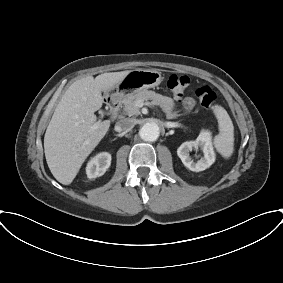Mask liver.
Segmentation results:
<instances>
[{
  "label": "liver",
  "mask_w": 283,
  "mask_h": 283,
  "mask_svg": "<svg viewBox=\"0 0 283 283\" xmlns=\"http://www.w3.org/2000/svg\"><path fill=\"white\" fill-rule=\"evenodd\" d=\"M130 70L110 72L73 82L58 103L44 136L48 167L63 185L72 183L89 154L103 139L110 121H97L102 92L111 90Z\"/></svg>",
  "instance_id": "liver-1"
}]
</instances>
